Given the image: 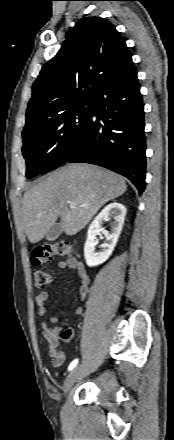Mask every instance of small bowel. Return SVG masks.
Returning <instances> with one entry per match:
<instances>
[{"mask_svg": "<svg viewBox=\"0 0 174 440\" xmlns=\"http://www.w3.org/2000/svg\"><path fill=\"white\" fill-rule=\"evenodd\" d=\"M59 268L63 271L70 270L75 273L81 281V285L79 288L80 299H84L90 283L89 276L83 266V264L75 259H68L59 262ZM48 299V293L46 291H39L36 293L35 301L37 304V313L39 317H45L47 313L46 301ZM82 308L78 307L75 310L76 314L82 313ZM52 321H58L59 318L54 316L51 318ZM42 334L44 338L47 340L48 346V354L52 358L53 365L55 367H60L65 362V356L59 351L58 345L59 341L57 339V335L59 334V330L49 326L47 323H42ZM64 342H70L71 336L68 338L62 339Z\"/></svg>", "mask_w": 174, "mask_h": 440, "instance_id": "1", "label": "small bowel"}]
</instances>
